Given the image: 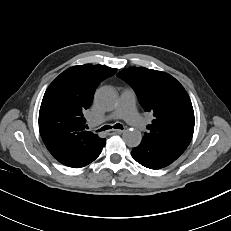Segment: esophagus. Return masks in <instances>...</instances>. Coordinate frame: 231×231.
I'll return each mask as SVG.
<instances>
[{"mask_svg": "<svg viewBox=\"0 0 231 231\" xmlns=\"http://www.w3.org/2000/svg\"><path fill=\"white\" fill-rule=\"evenodd\" d=\"M111 132H112V133H115V134H121V133H123V130H120V129H112Z\"/></svg>", "mask_w": 231, "mask_h": 231, "instance_id": "1", "label": "esophagus"}]
</instances>
